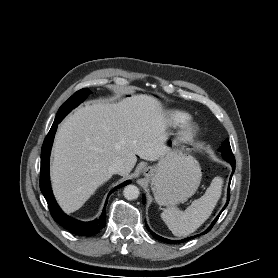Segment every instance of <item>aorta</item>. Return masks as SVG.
Here are the masks:
<instances>
[{
  "label": "aorta",
  "instance_id": "aorta-1",
  "mask_svg": "<svg viewBox=\"0 0 278 278\" xmlns=\"http://www.w3.org/2000/svg\"><path fill=\"white\" fill-rule=\"evenodd\" d=\"M123 195L127 200H135L139 196V189L135 185H128L124 188Z\"/></svg>",
  "mask_w": 278,
  "mask_h": 278
}]
</instances>
